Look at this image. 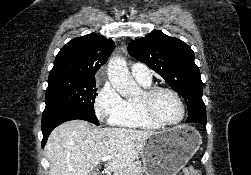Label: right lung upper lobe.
Listing matches in <instances>:
<instances>
[{"label": "right lung upper lobe", "instance_id": "cb5924a9", "mask_svg": "<svg viewBox=\"0 0 251 175\" xmlns=\"http://www.w3.org/2000/svg\"><path fill=\"white\" fill-rule=\"evenodd\" d=\"M114 48L112 40L96 33L74 38L57 54L49 78L95 83L97 70Z\"/></svg>", "mask_w": 251, "mask_h": 175}]
</instances>
